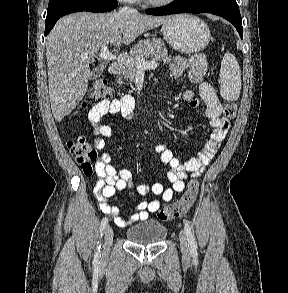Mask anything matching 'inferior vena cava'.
<instances>
[{
	"instance_id": "602c4592",
	"label": "inferior vena cava",
	"mask_w": 288,
	"mask_h": 293,
	"mask_svg": "<svg viewBox=\"0 0 288 293\" xmlns=\"http://www.w3.org/2000/svg\"><path fill=\"white\" fill-rule=\"evenodd\" d=\"M122 11H123V12H125V11L136 12V10H134V9H130V8L127 7V6H126V7H123V8H122Z\"/></svg>"
}]
</instances>
